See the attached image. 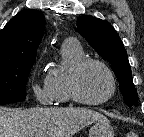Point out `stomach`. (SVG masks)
I'll list each match as a JSON object with an SVG mask.
<instances>
[{
  "label": "stomach",
  "instance_id": "1",
  "mask_svg": "<svg viewBox=\"0 0 144 137\" xmlns=\"http://www.w3.org/2000/svg\"><path fill=\"white\" fill-rule=\"evenodd\" d=\"M89 137H114V130L108 119L94 122Z\"/></svg>",
  "mask_w": 144,
  "mask_h": 137
}]
</instances>
